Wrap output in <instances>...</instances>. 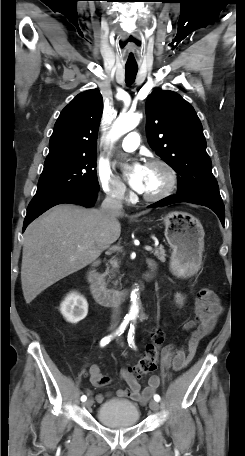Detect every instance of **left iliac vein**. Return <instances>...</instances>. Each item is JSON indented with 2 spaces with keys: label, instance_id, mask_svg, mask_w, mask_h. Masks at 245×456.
<instances>
[{
  "label": "left iliac vein",
  "instance_id": "left-iliac-vein-1",
  "mask_svg": "<svg viewBox=\"0 0 245 456\" xmlns=\"http://www.w3.org/2000/svg\"><path fill=\"white\" fill-rule=\"evenodd\" d=\"M149 407L153 411H158L159 410V403L155 400H151L149 403Z\"/></svg>",
  "mask_w": 245,
  "mask_h": 456
}]
</instances>
